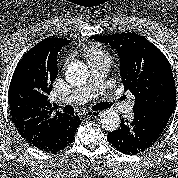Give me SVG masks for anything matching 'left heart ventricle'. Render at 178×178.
Here are the masks:
<instances>
[{
	"mask_svg": "<svg viewBox=\"0 0 178 178\" xmlns=\"http://www.w3.org/2000/svg\"><path fill=\"white\" fill-rule=\"evenodd\" d=\"M86 83H87V81H86V79H85L84 84H86Z\"/></svg>",
	"mask_w": 178,
	"mask_h": 178,
	"instance_id": "b2bd125f",
	"label": "left heart ventricle"
}]
</instances>
